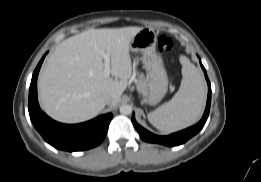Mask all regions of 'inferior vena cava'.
I'll use <instances>...</instances> for the list:
<instances>
[{"instance_id": "602c4592", "label": "inferior vena cava", "mask_w": 261, "mask_h": 182, "mask_svg": "<svg viewBox=\"0 0 261 182\" xmlns=\"http://www.w3.org/2000/svg\"><path fill=\"white\" fill-rule=\"evenodd\" d=\"M103 101H104L106 104H109V103L111 102V96H109V95L104 96Z\"/></svg>"}]
</instances>
